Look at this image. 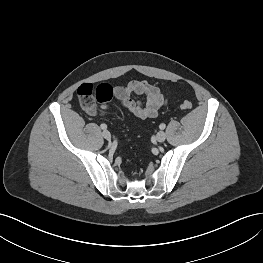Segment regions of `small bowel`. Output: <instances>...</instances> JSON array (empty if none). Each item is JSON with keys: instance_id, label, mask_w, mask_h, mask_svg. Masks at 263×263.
Returning <instances> with one entry per match:
<instances>
[{"instance_id": "small-bowel-1", "label": "small bowel", "mask_w": 263, "mask_h": 263, "mask_svg": "<svg viewBox=\"0 0 263 263\" xmlns=\"http://www.w3.org/2000/svg\"><path fill=\"white\" fill-rule=\"evenodd\" d=\"M114 95L125 109L140 119L156 117L160 108L167 102L161 90L146 80L136 79L125 86H117ZM134 95L145 97V102L134 99ZM87 112L95 115L97 111L93 107Z\"/></svg>"}]
</instances>
